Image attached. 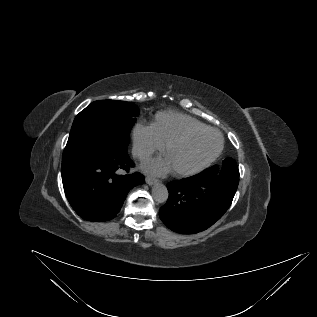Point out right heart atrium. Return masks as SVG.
I'll list each match as a JSON object with an SVG mask.
<instances>
[{
	"label": "right heart atrium",
	"instance_id": "obj_1",
	"mask_svg": "<svg viewBox=\"0 0 317 317\" xmlns=\"http://www.w3.org/2000/svg\"><path fill=\"white\" fill-rule=\"evenodd\" d=\"M132 152L138 159H147L153 153L160 151L163 145L155 136L151 125L138 122L134 125L131 133Z\"/></svg>",
	"mask_w": 317,
	"mask_h": 317
}]
</instances>
